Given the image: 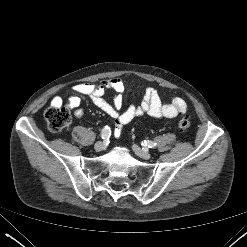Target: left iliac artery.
Here are the masks:
<instances>
[{"instance_id": "obj_1", "label": "left iliac artery", "mask_w": 247, "mask_h": 247, "mask_svg": "<svg viewBox=\"0 0 247 247\" xmlns=\"http://www.w3.org/2000/svg\"><path fill=\"white\" fill-rule=\"evenodd\" d=\"M142 145H144L145 147H148V148H155L156 147V143L153 141H144V143L142 142Z\"/></svg>"}]
</instances>
